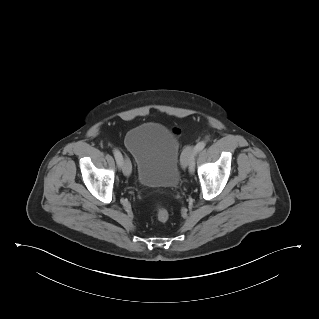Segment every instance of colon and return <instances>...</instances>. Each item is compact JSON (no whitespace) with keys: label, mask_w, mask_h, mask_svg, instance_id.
Returning <instances> with one entry per match:
<instances>
[{"label":"colon","mask_w":319,"mask_h":319,"mask_svg":"<svg viewBox=\"0 0 319 319\" xmlns=\"http://www.w3.org/2000/svg\"><path fill=\"white\" fill-rule=\"evenodd\" d=\"M156 218L160 222H166L169 219V212L163 206H157L156 208Z\"/></svg>","instance_id":"1"}]
</instances>
